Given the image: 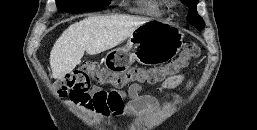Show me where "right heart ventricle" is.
<instances>
[{"instance_id":"right-heart-ventricle-1","label":"right heart ventricle","mask_w":257,"mask_h":130,"mask_svg":"<svg viewBox=\"0 0 257 130\" xmlns=\"http://www.w3.org/2000/svg\"><path fill=\"white\" fill-rule=\"evenodd\" d=\"M140 10L148 15H159L165 7L164 0H140Z\"/></svg>"}]
</instances>
